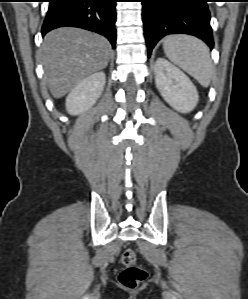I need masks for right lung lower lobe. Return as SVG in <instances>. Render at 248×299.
<instances>
[{
    "mask_svg": "<svg viewBox=\"0 0 248 299\" xmlns=\"http://www.w3.org/2000/svg\"><path fill=\"white\" fill-rule=\"evenodd\" d=\"M42 36L63 26L83 28L105 36L115 46L116 0H50Z\"/></svg>",
    "mask_w": 248,
    "mask_h": 299,
    "instance_id": "obj_1",
    "label": "right lung lower lobe"
}]
</instances>
